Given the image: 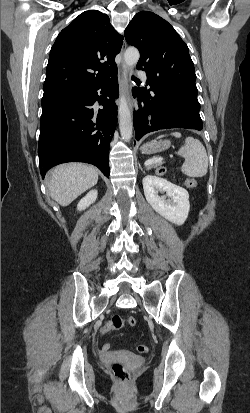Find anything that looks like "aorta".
Returning a JSON list of instances; mask_svg holds the SVG:
<instances>
[{
    "mask_svg": "<svg viewBox=\"0 0 250 413\" xmlns=\"http://www.w3.org/2000/svg\"><path fill=\"white\" fill-rule=\"evenodd\" d=\"M139 51L134 47H129L124 53V63L126 68L133 67L139 60ZM119 129L123 140L129 141L132 137L133 123L130 109L127 104L125 95L122 93L119 97Z\"/></svg>",
    "mask_w": 250,
    "mask_h": 413,
    "instance_id": "aorta-1",
    "label": "aorta"
}]
</instances>
